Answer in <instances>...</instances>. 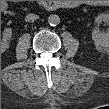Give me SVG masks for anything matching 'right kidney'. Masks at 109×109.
Masks as SVG:
<instances>
[{
	"instance_id": "right-kidney-1",
	"label": "right kidney",
	"mask_w": 109,
	"mask_h": 109,
	"mask_svg": "<svg viewBox=\"0 0 109 109\" xmlns=\"http://www.w3.org/2000/svg\"><path fill=\"white\" fill-rule=\"evenodd\" d=\"M12 36L11 28H7L4 30V33L1 38V50L4 52L7 48H9V42Z\"/></svg>"
}]
</instances>
